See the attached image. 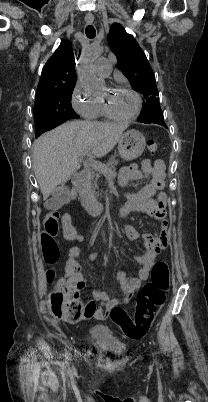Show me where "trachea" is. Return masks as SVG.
I'll return each instance as SVG.
<instances>
[{
    "instance_id": "1",
    "label": "trachea",
    "mask_w": 208,
    "mask_h": 402,
    "mask_svg": "<svg viewBox=\"0 0 208 402\" xmlns=\"http://www.w3.org/2000/svg\"><path fill=\"white\" fill-rule=\"evenodd\" d=\"M85 33L88 38H94L96 35V30L92 25H88L85 29Z\"/></svg>"
}]
</instances>
